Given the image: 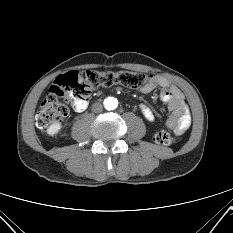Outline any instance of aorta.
I'll list each match as a JSON object with an SVG mask.
<instances>
[{"label": "aorta", "mask_w": 233, "mask_h": 233, "mask_svg": "<svg viewBox=\"0 0 233 233\" xmlns=\"http://www.w3.org/2000/svg\"><path fill=\"white\" fill-rule=\"evenodd\" d=\"M104 105L107 110H114L118 106V100L114 97H108L105 99Z\"/></svg>", "instance_id": "aorta-1"}]
</instances>
